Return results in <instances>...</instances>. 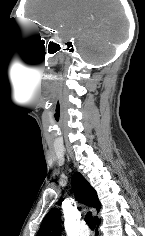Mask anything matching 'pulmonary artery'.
Here are the masks:
<instances>
[{"label": "pulmonary artery", "instance_id": "obj_1", "mask_svg": "<svg viewBox=\"0 0 145 236\" xmlns=\"http://www.w3.org/2000/svg\"><path fill=\"white\" fill-rule=\"evenodd\" d=\"M79 236H89L90 230L85 223H82L78 230Z\"/></svg>", "mask_w": 145, "mask_h": 236}]
</instances>
